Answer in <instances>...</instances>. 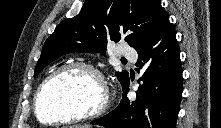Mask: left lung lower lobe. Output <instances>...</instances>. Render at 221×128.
Listing matches in <instances>:
<instances>
[{
  "instance_id": "1",
  "label": "left lung lower lobe",
  "mask_w": 221,
  "mask_h": 128,
  "mask_svg": "<svg viewBox=\"0 0 221 128\" xmlns=\"http://www.w3.org/2000/svg\"><path fill=\"white\" fill-rule=\"evenodd\" d=\"M136 51V65L144 69L136 100L126 96L128 80L117 108L91 123L109 128H175L183 78L176 31L168 15Z\"/></svg>"
}]
</instances>
